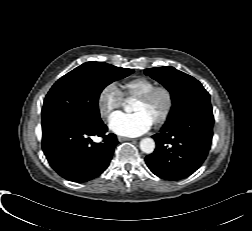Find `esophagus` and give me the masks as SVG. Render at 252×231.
<instances>
[{
    "label": "esophagus",
    "mask_w": 252,
    "mask_h": 231,
    "mask_svg": "<svg viewBox=\"0 0 252 231\" xmlns=\"http://www.w3.org/2000/svg\"><path fill=\"white\" fill-rule=\"evenodd\" d=\"M118 141L119 142H123V141H135V139L119 136L118 137Z\"/></svg>",
    "instance_id": "34e87169"
}]
</instances>
